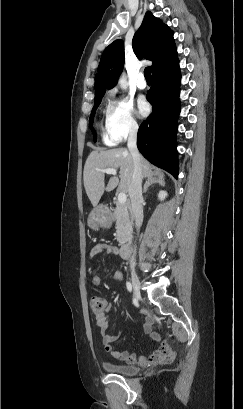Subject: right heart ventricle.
<instances>
[{
	"instance_id": "obj_1",
	"label": "right heart ventricle",
	"mask_w": 243,
	"mask_h": 409,
	"mask_svg": "<svg viewBox=\"0 0 243 409\" xmlns=\"http://www.w3.org/2000/svg\"><path fill=\"white\" fill-rule=\"evenodd\" d=\"M104 141L107 144H112L113 143V140L108 135H104Z\"/></svg>"
}]
</instances>
